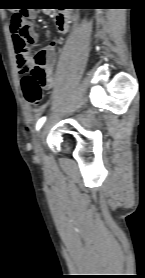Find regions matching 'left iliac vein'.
<instances>
[{
  "label": "left iliac vein",
  "instance_id": "left-iliac-vein-1",
  "mask_svg": "<svg viewBox=\"0 0 145 278\" xmlns=\"http://www.w3.org/2000/svg\"><path fill=\"white\" fill-rule=\"evenodd\" d=\"M45 137V130L41 129L37 134L36 138L34 140V150L35 155L37 158H40L42 156V141Z\"/></svg>",
  "mask_w": 145,
  "mask_h": 278
}]
</instances>
